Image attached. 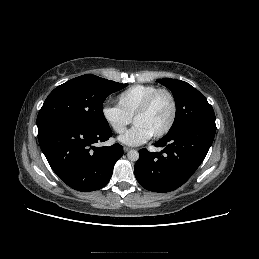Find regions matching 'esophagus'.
<instances>
[{
    "instance_id": "obj_1",
    "label": "esophagus",
    "mask_w": 259,
    "mask_h": 259,
    "mask_svg": "<svg viewBox=\"0 0 259 259\" xmlns=\"http://www.w3.org/2000/svg\"><path fill=\"white\" fill-rule=\"evenodd\" d=\"M123 149H124V152H128L131 148L125 146Z\"/></svg>"
}]
</instances>
